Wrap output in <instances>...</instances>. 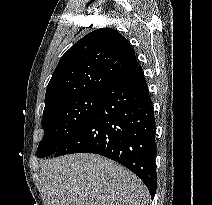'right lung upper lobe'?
I'll return each mask as SVG.
<instances>
[{
	"mask_svg": "<svg viewBox=\"0 0 212 205\" xmlns=\"http://www.w3.org/2000/svg\"><path fill=\"white\" fill-rule=\"evenodd\" d=\"M137 64L131 45L117 30L101 28L87 34L60 59L47 86L44 112L69 99L101 92Z\"/></svg>",
	"mask_w": 212,
	"mask_h": 205,
	"instance_id": "obj_1",
	"label": "right lung upper lobe"
}]
</instances>
